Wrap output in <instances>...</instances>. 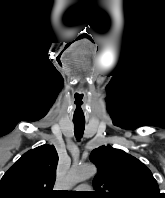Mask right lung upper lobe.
I'll list each match as a JSON object with an SVG mask.
<instances>
[{
  "label": "right lung upper lobe",
  "instance_id": "cb5924a9",
  "mask_svg": "<svg viewBox=\"0 0 165 198\" xmlns=\"http://www.w3.org/2000/svg\"><path fill=\"white\" fill-rule=\"evenodd\" d=\"M57 163L58 154L52 145L29 150L2 177L0 198H50Z\"/></svg>",
  "mask_w": 165,
  "mask_h": 198
}]
</instances>
